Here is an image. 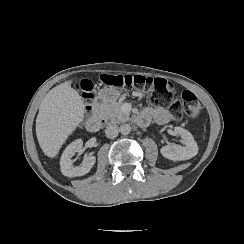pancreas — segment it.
I'll list each match as a JSON object with an SVG mask.
<instances>
[{
  "label": "pancreas",
  "instance_id": "cf45deb5",
  "mask_svg": "<svg viewBox=\"0 0 244 244\" xmlns=\"http://www.w3.org/2000/svg\"><path fill=\"white\" fill-rule=\"evenodd\" d=\"M121 106L120 102L113 99L107 104L101 105L97 116L100 120H110L112 123L127 122L130 120L129 113L122 111Z\"/></svg>",
  "mask_w": 244,
  "mask_h": 244
}]
</instances>
